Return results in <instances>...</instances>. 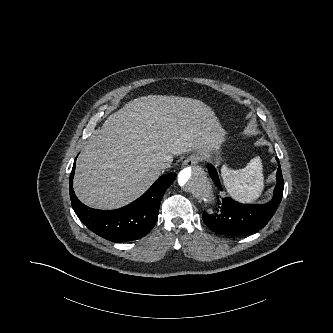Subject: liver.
I'll return each mask as SVG.
<instances>
[{"label":"liver","mask_w":333,"mask_h":333,"mask_svg":"<svg viewBox=\"0 0 333 333\" xmlns=\"http://www.w3.org/2000/svg\"><path fill=\"white\" fill-rule=\"evenodd\" d=\"M218 120L203 102L149 95L111 114L76 161L74 191L85 205L118 209L140 197L159 177L157 163L217 145Z\"/></svg>","instance_id":"6515ba94"}]
</instances>
